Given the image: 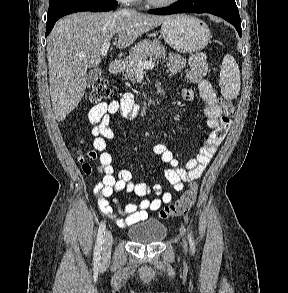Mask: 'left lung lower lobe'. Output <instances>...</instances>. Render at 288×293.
<instances>
[{
	"instance_id": "1",
	"label": "left lung lower lobe",
	"mask_w": 288,
	"mask_h": 293,
	"mask_svg": "<svg viewBox=\"0 0 288 293\" xmlns=\"http://www.w3.org/2000/svg\"><path fill=\"white\" fill-rule=\"evenodd\" d=\"M148 13L156 15H170L176 13H210L231 23L238 31L239 36L241 37L242 35L241 19L237 6H230L218 1L196 3L188 0H178V2L169 7L149 10Z\"/></svg>"
}]
</instances>
